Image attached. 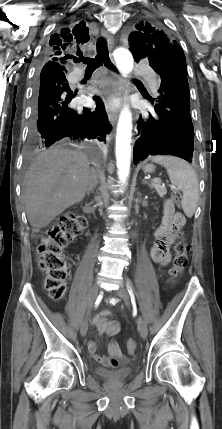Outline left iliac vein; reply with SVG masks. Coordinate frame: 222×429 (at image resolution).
Masks as SVG:
<instances>
[{
  "label": "left iliac vein",
  "instance_id": "1",
  "mask_svg": "<svg viewBox=\"0 0 222 429\" xmlns=\"http://www.w3.org/2000/svg\"><path fill=\"white\" fill-rule=\"evenodd\" d=\"M128 285L130 286L129 283ZM117 294L125 301L126 304L130 303L131 296H130V293L125 288L120 287L117 290ZM138 329H139L141 338L146 339L148 334V329H147V324L143 317H139L138 319Z\"/></svg>",
  "mask_w": 222,
  "mask_h": 429
}]
</instances>
